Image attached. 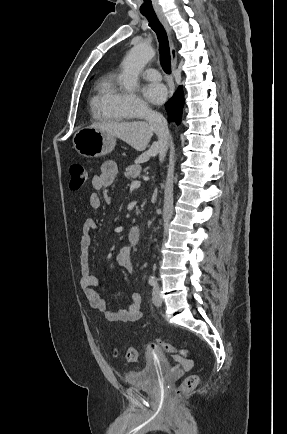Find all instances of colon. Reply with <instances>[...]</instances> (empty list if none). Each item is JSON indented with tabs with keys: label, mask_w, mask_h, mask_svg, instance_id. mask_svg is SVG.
Masks as SVG:
<instances>
[{
	"label": "colon",
	"mask_w": 287,
	"mask_h": 434,
	"mask_svg": "<svg viewBox=\"0 0 287 434\" xmlns=\"http://www.w3.org/2000/svg\"><path fill=\"white\" fill-rule=\"evenodd\" d=\"M70 189H80L89 179V172L87 168L79 163H75L70 167ZM155 344L158 348L171 354L176 360L189 361L191 359V352L187 348L176 347L168 342L156 340ZM120 355V352H116ZM121 355L130 362L138 359L137 350L133 347L126 348ZM199 383V376L196 374L188 375L182 384L176 389L174 397L180 399L185 393L195 389Z\"/></svg>",
	"instance_id": "1"
}]
</instances>
